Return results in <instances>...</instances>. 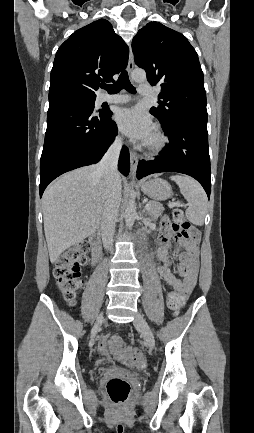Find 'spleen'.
<instances>
[{
    "label": "spleen",
    "mask_w": 254,
    "mask_h": 433,
    "mask_svg": "<svg viewBox=\"0 0 254 433\" xmlns=\"http://www.w3.org/2000/svg\"><path fill=\"white\" fill-rule=\"evenodd\" d=\"M170 178L177 183L181 194L188 201L187 219L195 225L202 226L207 213V196L202 186L187 176L175 175Z\"/></svg>",
    "instance_id": "obj_1"
}]
</instances>
